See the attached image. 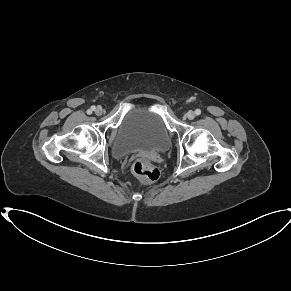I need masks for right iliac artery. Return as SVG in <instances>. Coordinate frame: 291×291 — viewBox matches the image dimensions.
<instances>
[{"label": "right iliac artery", "instance_id": "right-iliac-artery-1", "mask_svg": "<svg viewBox=\"0 0 291 291\" xmlns=\"http://www.w3.org/2000/svg\"><path fill=\"white\" fill-rule=\"evenodd\" d=\"M93 110H95V106H92L91 109L87 111V114H91Z\"/></svg>", "mask_w": 291, "mask_h": 291}]
</instances>
